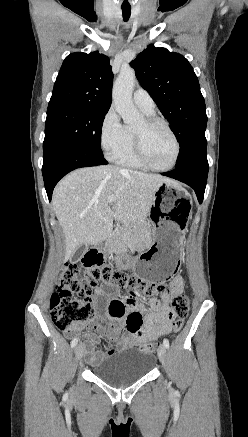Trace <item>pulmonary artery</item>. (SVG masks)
<instances>
[{"label":"pulmonary artery","mask_w":248,"mask_h":437,"mask_svg":"<svg viewBox=\"0 0 248 437\" xmlns=\"http://www.w3.org/2000/svg\"><path fill=\"white\" fill-rule=\"evenodd\" d=\"M134 104L145 113H153L155 109V103L149 93L142 89H136L133 93Z\"/></svg>","instance_id":"e3ab8cb5"}]
</instances>
